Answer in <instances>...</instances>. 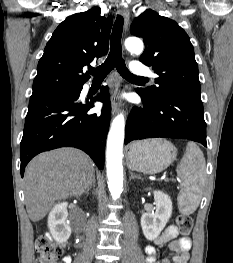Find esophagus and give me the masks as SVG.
Returning a JSON list of instances; mask_svg holds the SVG:
<instances>
[{
  "label": "esophagus",
  "instance_id": "34e87169",
  "mask_svg": "<svg viewBox=\"0 0 233 263\" xmlns=\"http://www.w3.org/2000/svg\"><path fill=\"white\" fill-rule=\"evenodd\" d=\"M119 13L124 18V25L126 28L129 22L130 11L125 5H121L119 8ZM119 98H120V86L117 85L111 97L112 114H116L120 108L121 102Z\"/></svg>",
  "mask_w": 233,
  "mask_h": 263
}]
</instances>
